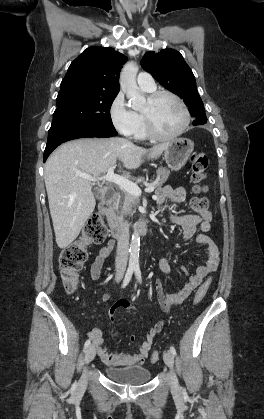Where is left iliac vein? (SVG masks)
I'll list each match as a JSON object with an SVG mask.
<instances>
[{
    "instance_id": "obj_1",
    "label": "left iliac vein",
    "mask_w": 264,
    "mask_h": 419,
    "mask_svg": "<svg viewBox=\"0 0 264 419\" xmlns=\"http://www.w3.org/2000/svg\"><path fill=\"white\" fill-rule=\"evenodd\" d=\"M165 364L171 369V379H172V387L177 386V379L173 372V366H174V357L173 354L170 351H166L163 356Z\"/></svg>"
}]
</instances>
